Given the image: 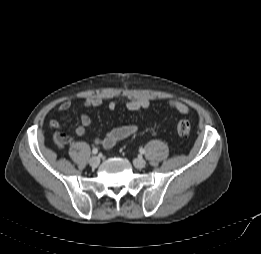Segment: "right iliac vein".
<instances>
[{"label": "right iliac vein", "mask_w": 261, "mask_h": 254, "mask_svg": "<svg viewBox=\"0 0 261 254\" xmlns=\"http://www.w3.org/2000/svg\"><path fill=\"white\" fill-rule=\"evenodd\" d=\"M89 164L91 167L96 168L100 164V158L98 156H92L89 159Z\"/></svg>", "instance_id": "obj_1"}]
</instances>
